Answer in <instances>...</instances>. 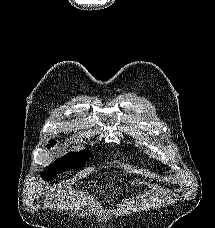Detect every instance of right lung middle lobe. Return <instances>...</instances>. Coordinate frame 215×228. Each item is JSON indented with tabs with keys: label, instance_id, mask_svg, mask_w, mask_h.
Here are the masks:
<instances>
[{
	"label": "right lung middle lobe",
	"instance_id": "dd1d6c3e",
	"mask_svg": "<svg viewBox=\"0 0 215 228\" xmlns=\"http://www.w3.org/2000/svg\"><path fill=\"white\" fill-rule=\"evenodd\" d=\"M54 142V140L50 141L49 146H52ZM90 154V151H82L78 154L70 152L63 158L56 160L55 164L50 167L49 171H46L42 174V177L45 180H51L56 176L57 173L68 169L81 167L87 161Z\"/></svg>",
	"mask_w": 215,
	"mask_h": 228
}]
</instances>
